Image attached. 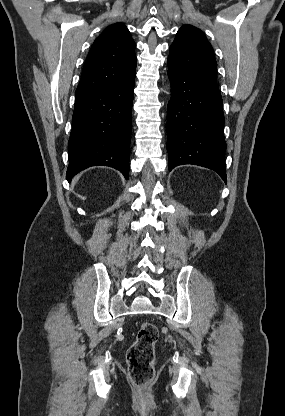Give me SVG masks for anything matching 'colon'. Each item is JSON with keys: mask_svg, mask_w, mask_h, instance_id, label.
Segmentation results:
<instances>
[{"mask_svg": "<svg viewBox=\"0 0 285 416\" xmlns=\"http://www.w3.org/2000/svg\"><path fill=\"white\" fill-rule=\"evenodd\" d=\"M157 339V327L151 322H143L134 343L127 352L130 379L141 390H146L154 380L153 365ZM141 402H149L147 395L141 397Z\"/></svg>", "mask_w": 285, "mask_h": 416, "instance_id": "1", "label": "colon"}]
</instances>
